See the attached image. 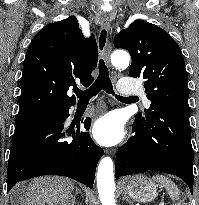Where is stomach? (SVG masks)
<instances>
[{
	"instance_id": "0dacf381",
	"label": "stomach",
	"mask_w": 199,
	"mask_h": 205,
	"mask_svg": "<svg viewBox=\"0 0 199 205\" xmlns=\"http://www.w3.org/2000/svg\"><path fill=\"white\" fill-rule=\"evenodd\" d=\"M124 189L129 197L138 202H151L158 196V184L143 174L127 178Z\"/></svg>"
}]
</instances>
